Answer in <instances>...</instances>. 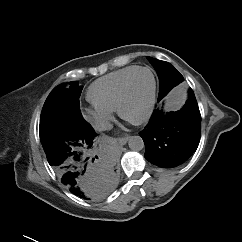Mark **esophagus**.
I'll return each mask as SVG.
<instances>
[{
  "instance_id": "34e87169",
  "label": "esophagus",
  "mask_w": 242,
  "mask_h": 242,
  "mask_svg": "<svg viewBox=\"0 0 242 242\" xmlns=\"http://www.w3.org/2000/svg\"><path fill=\"white\" fill-rule=\"evenodd\" d=\"M130 136L129 135H126L122 138H119L118 139V142L120 145H125L127 143V141L129 140Z\"/></svg>"
}]
</instances>
